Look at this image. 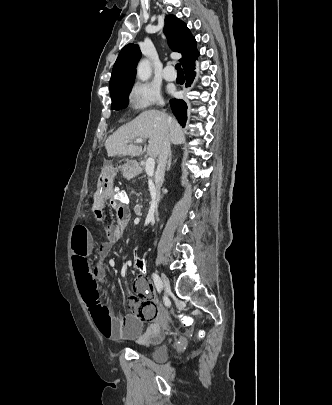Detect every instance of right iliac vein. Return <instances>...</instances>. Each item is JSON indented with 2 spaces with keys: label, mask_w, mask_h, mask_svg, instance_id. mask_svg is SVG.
Returning <instances> with one entry per match:
<instances>
[{
  "label": "right iliac vein",
  "mask_w": 332,
  "mask_h": 405,
  "mask_svg": "<svg viewBox=\"0 0 332 405\" xmlns=\"http://www.w3.org/2000/svg\"><path fill=\"white\" fill-rule=\"evenodd\" d=\"M161 282L164 292L168 293L170 291V282L164 274H161Z\"/></svg>",
  "instance_id": "obj_1"
}]
</instances>
